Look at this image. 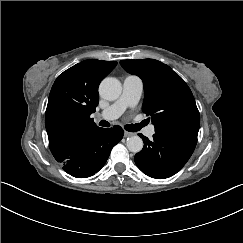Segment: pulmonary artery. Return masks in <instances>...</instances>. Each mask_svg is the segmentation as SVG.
<instances>
[{"instance_id":"obj_1","label":"pulmonary artery","mask_w":243,"mask_h":243,"mask_svg":"<svg viewBox=\"0 0 243 243\" xmlns=\"http://www.w3.org/2000/svg\"><path fill=\"white\" fill-rule=\"evenodd\" d=\"M122 93L119 99L111 106L97 114V118L113 121L117 119L128 107L136 106L143 92V81L140 78L130 76L122 77ZM155 134V125L152 123L145 129V135L150 139Z\"/></svg>"}]
</instances>
